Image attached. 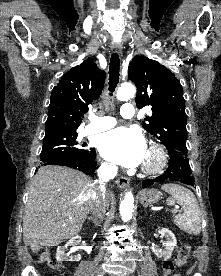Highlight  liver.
I'll use <instances>...</instances> for the list:
<instances>
[{
  "label": "liver",
  "instance_id": "6515ba94",
  "mask_svg": "<svg viewBox=\"0 0 221 276\" xmlns=\"http://www.w3.org/2000/svg\"><path fill=\"white\" fill-rule=\"evenodd\" d=\"M96 182L80 171L44 166L33 178L23 216V240L37 253L77 235L90 211ZM110 194H107L109 202Z\"/></svg>",
  "mask_w": 221,
  "mask_h": 276
}]
</instances>
